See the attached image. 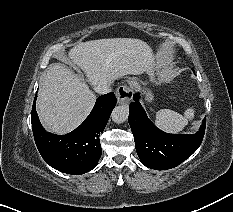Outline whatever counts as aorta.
I'll use <instances>...</instances> for the list:
<instances>
[{
    "label": "aorta",
    "instance_id": "aorta-1",
    "mask_svg": "<svg viewBox=\"0 0 233 212\" xmlns=\"http://www.w3.org/2000/svg\"><path fill=\"white\" fill-rule=\"evenodd\" d=\"M129 110L126 106H117L113 109L111 118L115 123H123L128 119Z\"/></svg>",
    "mask_w": 233,
    "mask_h": 212
}]
</instances>
